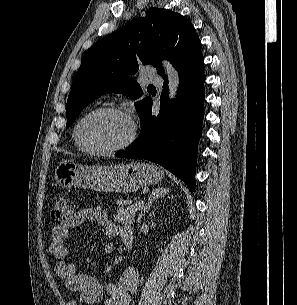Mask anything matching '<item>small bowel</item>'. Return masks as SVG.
<instances>
[{"label":"small bowel","instance_id":"1","mask_svg":"<svg viewBox=\"0 0 297 305\" xmlns=\"http://www.w3.org/2000/svg\"><path fill=\"white\" fill-rule=\"evenodd\" d=\"M85 222H93L105 228L106 236H121L124 230L132 229L130 226H118L109 218L107 210L96 208H84L76 212L72 217L55 225L51 229L49 250L56 259L55 270L63 280L66 289L79 296L73 299L69 305L102 304V305H129L131 295L139 284V274L134 267H127L121 273L117 282L104 287L92 275L78 273L75 264L69 258V252L65 245L68 232L71 228L78 227ZM114 246L107 243L104 253L112 254Z\"/></svg>","mask_w":297,"mask_h":305}]
</instances>
